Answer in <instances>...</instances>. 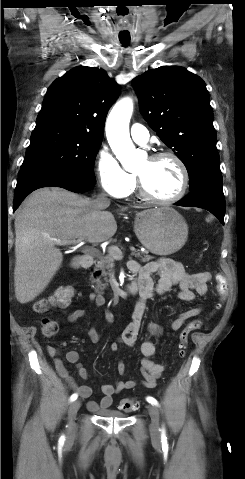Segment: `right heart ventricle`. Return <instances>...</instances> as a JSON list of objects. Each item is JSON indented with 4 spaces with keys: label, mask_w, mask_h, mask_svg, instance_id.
I'll list each match as a JSON object with an SVG mask.
<instances>
[{
    "label": "right heart ventricle",
    "mask_w": 245,
    "mask_h": 479,
    "mask_svg": "<svg viewBox=\"0 0 245 479\" xmlns=\"http://www.w3.org/2000/svg\"><path fill=\"white\" fill-rule=\"evenodd\" d=\"M129 179H130V185L127 191L125 192L124 196L131 195L136 191V178L135 175L129 174Z\"/></svg>",
    "instance_id": "e07e8e85"
}]
</instances>
